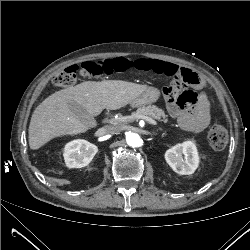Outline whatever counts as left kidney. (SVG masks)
<instances>
[{
	"instance_id": "obj_1",
	"label": "left kidney",
	"mask_w": 250,
	"mask_h": 250,
	"mask_svg": "<svg viewBox=\"0 0 250 250\" xmlns=\"http://www.w3.org/2000/svg\"><path fill=\"white\" fill-rule=\"evenodd\" d=\"M165 160L174 172L180 175H190L199 165L196 145L193 141H185L168 149Z\"/></svg>"
}]
</instances>
